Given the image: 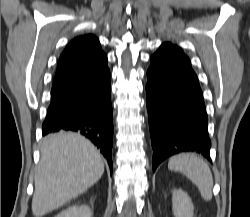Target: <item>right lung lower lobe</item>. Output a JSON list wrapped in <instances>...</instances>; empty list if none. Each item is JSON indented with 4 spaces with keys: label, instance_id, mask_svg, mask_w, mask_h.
Returning a JSON list of instances; mask_svg holds the SVG:
<instances>
[{
    "label": "right lung lower lobe",
    "instance_id": "right-lung-lower-lobe-1",
    "mask_svg": "<svg viewBox=\"0 0 250 217\" xmlns=\"http://www.w3.org/2000/svg\"><path fill=\"white\" fill-rule=\"evenodd\" d=\"M42 130L43 135L61 130L84 135L112 170L113 115L106 55L84 72L53 84Z\"/></svg>",
    "mask_w": 250,
    "mask_h": 217
}]
</instances>
